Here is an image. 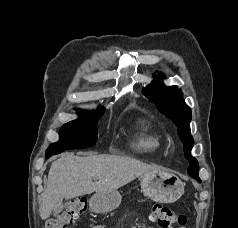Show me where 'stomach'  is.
Segmentation results:
<instances>
[{"label": "stomach", "mask_w": 238, "mask_h": 228, "mask_svg": "<svg viewBox=\"0 0 238 228\" xmlns=\"http://www.w3.org/2000/svg\"><path fill=\"white\" fill-rule=\"evenodd\" d=\"M141 189L147 197L158 203H173L184 193V183L174 174L157 171L141 176ZM117 190L96 192L90 199V207L97 213H107L121 203Z\"/></svg>", "instance_id": "0dacf381"}]
</instances>
